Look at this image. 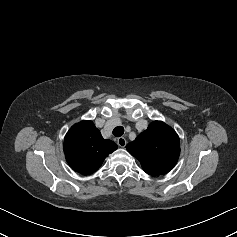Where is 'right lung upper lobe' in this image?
Wrapping results in <instances>:
<instances>
[{
  "instance_id": "obj_1",
  "label": "right lung upper lobe",
  "mask_w": 237,
  "mask_h": 237,
  "mask_svg": "<svg viewBox=\"0 0 237 237\" xmlns=\"http://www.w3.org/2000/svg\"><path fill=\"white\" fill-rule=\"evenodd\" d=\"M117 149L111 140H105L92 121L73 125L64 139L65 158L71 168L82 175L99 169L104 159Z\"/></svg>"
}]
</instances>
